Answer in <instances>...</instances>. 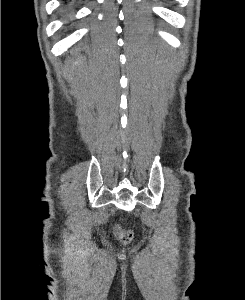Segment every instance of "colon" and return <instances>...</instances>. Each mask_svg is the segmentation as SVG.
Wrapping results in <instances>:
<instances>
[{"label":"colon","instance_id":"obj_1","mask_svg":"<svg viewBox=\"0 0 245 300\" xmlns=\"http://www.w3.org/2000/svg\"><path fill=\"white\" fill-rule=\"evenodd\" d=\"M114 233L123 242H128L132 237V233L129 230L123 229L122 227H120L118 225H116L114 227Z\"/></svg>","mask_w":245,"mask_h":300}]
</instances>
